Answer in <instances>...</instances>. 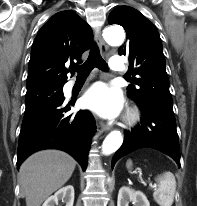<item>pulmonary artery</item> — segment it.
<instances>
[{
  "mask_svg": "<svg viewBox=\"0 0 197 206\" xmlns=\"http://www.w3.org/2000/svg\"><path fill=\"white\" fill-rule=\"evenodd\" d=\"M110 67L114 71H123L124 63L120 57H113L111 59Z\"/></svg>",
  "mask_w": 197,
  "mask_h": 206,
  "instance_id": "obj_1",
  "label": "pulmonary artery"
}]
</instances>
